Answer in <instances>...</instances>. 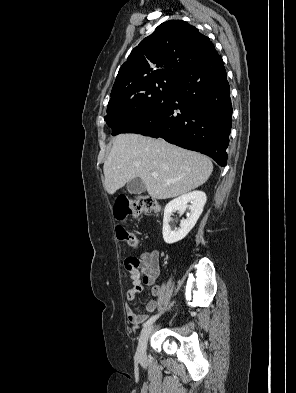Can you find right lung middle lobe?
I'll list each match as a JSON object with an SVG mask.
<instances>
[{
	"instance_id": "right-lung-middle-lobe-1",
	"label": "right lung middle lobe",
	"mask_w": 296,
	"mask_h": 393,
	"mask_svg": "<svg viewBox=\"0 0 296 393\" xmlns=\"http://www.w3.org/2000/svg\"><path fill=\"white\" fill-rule=\"evenodd\" d=\"M176 80L156 81L147 86L143 93L131 99L108 103L105 121L112 129V135H118L124 128L165 99L175 88Z\"/></svg>"
}]
</instances>
